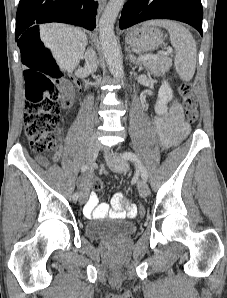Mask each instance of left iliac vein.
<instances>
[{
    "instance_id": "4c4485c4",
    "label": "left iliac vein",
    "mask_w": 227,
    "mask_h": 298,
    "mask_svg": "<svg viewBox=\"0 0 227 298\" xmlns=\"http://www.w3.org/2000/svg\"><path fill=\"white\" fill-rule=\"evenodd\" d=\"M109 154V156L106 157L107 165L111 170L117 173H125L127 172L129 165L128 162L122 158L119 157L116 154H110L109 152H106ZM138 191L141 197L145 198L149 195L150 190L148 187V184L144 180H140L138 182Z\"/></svg>"
}]
</instances>
